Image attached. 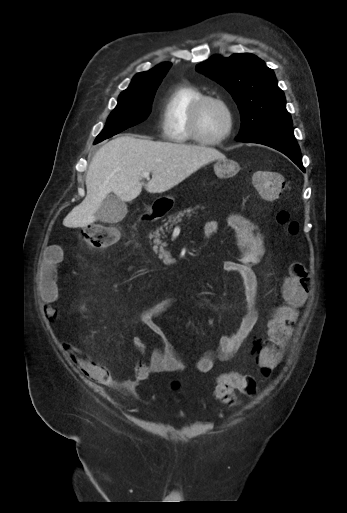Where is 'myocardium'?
I'll use <instances>...</instances> for the list:
<instances>
[{
  "label": "myocardium",
  "instance_id": "myocardium-1",
  "mask_svg": "<svg viewBox=\"0 0 347 513\" xmlns=\"http://www.w3.org/2000/svg\"><path fill=\"white\" fill-rule=\"evenodd\" d=\"M208 102H215L220 104L224 110L226 111L227 117H228V125L226 131L217 138H205L201 135L199 130V118L201 111L204 107V105ZM235 125V116L234 111L230 105V103L225 100L224 98L214 96V95H207L204 94L202 97H200L194 106L191 109L190 115H189V131L191 137L199 144L202 145H208V146H214L218 145L222 142H224L226 139H228L233 130Z\"/></svg>",
  "mask_w": 347,
  "mask_h": 513
}]
</instances>
